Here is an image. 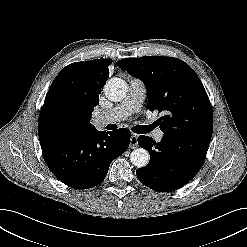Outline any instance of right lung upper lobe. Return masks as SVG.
I'll use <instances>...</instances> for the list:
<instances>
[{
	"mask_svg": "<svg viewBox=\"0 0 247 247\" xmlns=\"http://www.w3.org/2000/svg\"><path fill=\"white\" fill-rule=\"evenodd\" d=\"M111 60L96 59L86 62H75L60 71L53 81L48 95L58 78L66 72L71 73L73 96L78 105V116L70 133L81 134L97 131L90 123L91 113L98 105L99 94L109 77L108 65Z\"/></svg>",
	"mask_w": 247,
	"mask_h": 247,
	"instance_id": "obj_1",
	"label": "right lung upper lobe"
}]
</instances>
